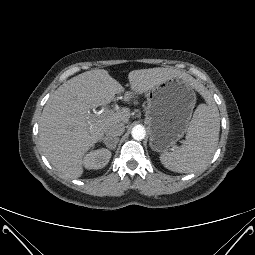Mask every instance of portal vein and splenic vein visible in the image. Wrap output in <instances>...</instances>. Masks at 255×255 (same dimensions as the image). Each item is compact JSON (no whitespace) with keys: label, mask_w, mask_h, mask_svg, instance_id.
<instances>
[{"label":"portal vein and splenic vein","mask_w":255,"mask_h":255,"mask_svg":"<svg viewBox=\"0 0 255 255\" xmlns=\"http://www.w3.org/2000/svg\"><path fill=\"white\" fill-rule=\"evenodd\" d=\"M112 112L110 111V110H106V111H104L103 113H102V115H104V116H108V115H110Z\"/></svg>","instance_id":"18ae733b"}]
</instances>
